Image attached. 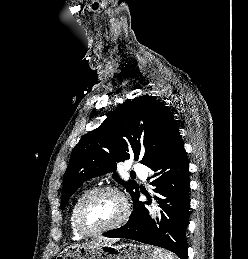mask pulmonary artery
<instances>
[{
	"label": "pulmonary artery",
	"instance_id": "obj_1",
	"mask_svg": "<svg viewBox=\"0 0 248 259\" xmlns=\"http://www.w3.org/2000/svg\"><path fill=\"white\" fill-rule=\"evenodd\" d=\"M132 169H133L135 172H137V173H139V174H141V175H145V168H144L143 165H141V164H139V163L133 164Z\"/></svg>",
	"mask_w": 248,
	"mask_h": 259
}]
</instances>
